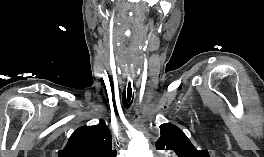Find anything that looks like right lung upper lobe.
Wrapping results in <instances>:
<instances>
[{
	"label": "right lung upper lobe",
	"mask_w": 264,
	"mask_h": 157,
	"mask_svg": "<svg viewBox=\"0 0 264 157\" xmlns=\"http://www.w3.org/2000/svg\"><path fill=\"white\" fill-rule=\"evenodd\" d=\"M58 157H116L105 122L100 120L96 126H82L75 130Z\"/></svg>",
	"instance_id": "1"
}]
</instances>
